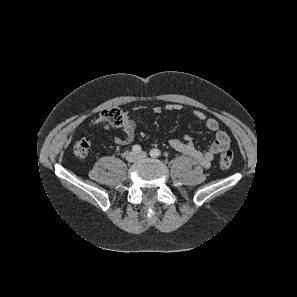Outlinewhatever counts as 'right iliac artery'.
<instances>
[{
  "label": "right iliac artery",
  "mask_w": 297,
  "mask_h": 297,
  "mask_svg": "<svg viewBox=\"0 0 297 297\" xmlns=\"http://www.w3.org/2000/svg\"><path fill=\"white\" fill-rule=\"evenodd\" d=\"M132 150H133V152H135V153H140V152H141V147H140V145H134V146L132 147Z\"/></svg>",
  "instance_id": "1"
}]
</instances>
